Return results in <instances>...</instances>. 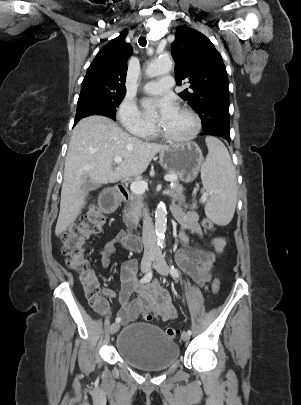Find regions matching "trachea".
<instances>
[{"label":"trachea","mask_w":301,"mask_h":405,"mask_svg":"<svg viewBox=\"0 0 301 405\" xmlns=\"http://www.w3.org/2000/svg\"><path fill=\"white\" fill-rule=\"evenodd\" d=\"M138 42H139V45L142 47L146 46V44H147V40L145 37H140Z\"/></svg>","instance_id":"obj_1"}]
</instances>
